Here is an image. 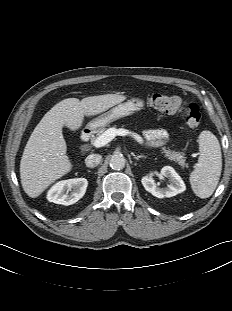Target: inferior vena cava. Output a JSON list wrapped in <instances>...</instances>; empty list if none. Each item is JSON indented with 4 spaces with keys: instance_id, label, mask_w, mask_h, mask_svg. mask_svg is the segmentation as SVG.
<instances>
[{
    "instance_id": "obj_1",
    "label": "inferior vena cava",
    "mask_w": 232,
    "mask_h": 311,
    "mask_svg": "<svg viewBox=\"0 0 232 311\" xmlns=\"http://www.w3.org/2000/svg\"><path fill=\"white\" fill-rule=\"evenodd\" d=\"M101 155L99 154H91L86 157L85 164L89 168L96 167L101 161Z\"/></svg>"
}]
</instances>
